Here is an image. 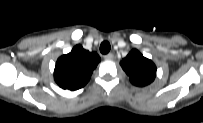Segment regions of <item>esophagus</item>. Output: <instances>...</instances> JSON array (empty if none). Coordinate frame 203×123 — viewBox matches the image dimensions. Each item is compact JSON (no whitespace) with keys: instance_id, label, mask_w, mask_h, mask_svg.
<instances>
[{"instance_id":"obj_1","label":"esophagus","mask_w":203,"mask_h":123,"mask_svg":"<svg viewBox=\"0 0 203 123\" xmlns=\"http://www.w3.org/2000/svg\"><path fill=\"white\" fill-rule=\"evenodd\" d=\"M105 60H113L114 59V55L112 53H108L104 56Z\"/></svg>"}]
</instances>
